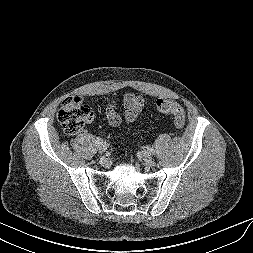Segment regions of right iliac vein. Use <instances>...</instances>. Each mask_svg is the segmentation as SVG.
<instances>
[{"mask_svg":"<svg viewBox=\"0 0 253 253\" xmlns=\"http://www.w3.org/2000/svg\"><path fill=\"white\" fill-rule=\"evenodd\" d=\"M106 149H107L106 143H102V144H99V145L97 146V150H98L99 153L105 152Z\"/></svg>","mask_w":253,"mask_h":253,"instance_id":"1","label":"right iliac vein"}]
</instances>
